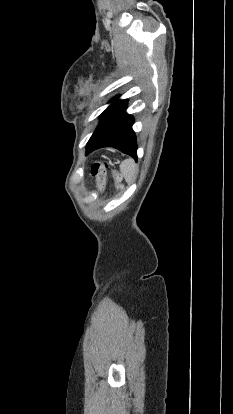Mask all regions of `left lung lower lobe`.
Returning a JSON list of instances; mask_svg holds the SVG:
<instances>
[{"mask_svg": "<svg viewBox=\"0 0 233 414\" xmlns=\"http://www.w3.org/2000/svg\"><path fill=\"white\" fill-rule=\"evenodd\" d=\"M101 114V121L87 143L86 153L101 147H114L137 160L134 119L128 115L126 100H116Z\"/></svg>", "mask_w": 233, "mask_h": 414, "instance_id": "left-lung-lower-lobe-1", "label": "left lung lower lobe"}]
</instances>
